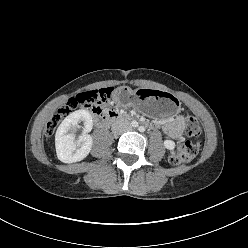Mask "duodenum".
<instances>
[{
  "label": "duodenum",
  "instance_id": "410a0bca",
  "mask_svg": "<svg viewBox=\"0 0 248 248\" xmlns=\"http://www.w3.org/2000/svg\"><path fill=\"white\" fill-rule=\"evenodd\" d=\"M97 121L101 126H107L113 122L126 121L127 117L114 111H108L102 115H96Z\"/></svg>",
  "mask_w": 248,
  "mask_h": 248
}]
</instances>
